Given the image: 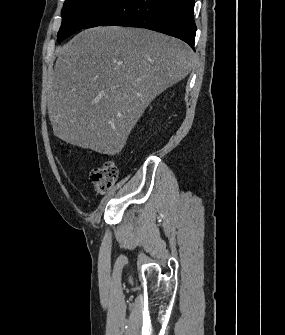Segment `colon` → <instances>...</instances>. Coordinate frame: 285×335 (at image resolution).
<instances>
[{
    "label": "colon",
    "mask_w": 285,
    "mask_h": 335,
    "mask_svg": "<svg viewBox=\"0 0 285 335\" xmlns=\"http://www.w3.org/2000/svg\"><path fill=\"white\" fill-rule=\"evenodd\" d=\"M118 176V168L113 162H106L91 171L92 183L100 194L109 191L116 183Z\"/></svg>",
    "instance_id": "5ec220e1"
}]
</instances>
